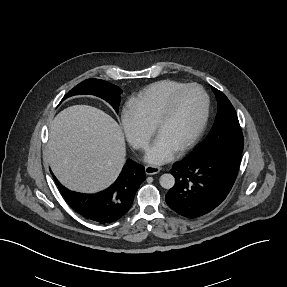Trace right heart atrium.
<instances>
[{
    "instance_id": "obj_1",
    "label": "right heart atrium",
    "mask_w": 287,
    "mask_h": 287,
    "mask_svg": "<svg viewBox=\"0 0 287 287\" xmlns=\"http://www.w3.org/2000/svg\"><path fill=\"white\" fill-rule=\"evenodd\" d=\"M121 124L129 143L136 149H144L152 136V129L146 126L140 118L129 109L121 114Z\"/></svg>"
}]
</instances>
